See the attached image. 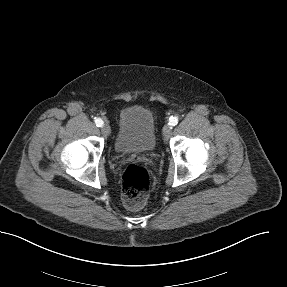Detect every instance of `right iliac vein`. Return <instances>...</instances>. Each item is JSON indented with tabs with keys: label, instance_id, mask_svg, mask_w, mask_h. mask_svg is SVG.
I'll return each mask as SVG.
<instances>
[{
	"label": "right iliac vein",
	"instance_id": "obj_1",
	"mask_svg": "<svg viewBox=\"0 0 287 287\" xmlns=\"http://www.w3.org/2000/svg\"><path fill=\"white\" fill-rule=\"evenodd\" d=\"M101 131L104 136H109L111 132L110 126L108 124L102 125Z\"/></svg>",
	"mask_w": 287,
	"mask_h": 287
}]
</instances>
